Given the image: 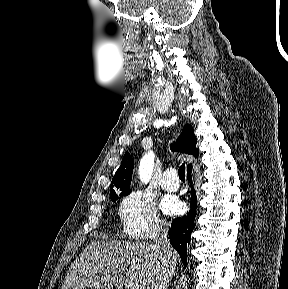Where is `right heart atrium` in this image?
<instances>
[{"instance_id": "obj_1", "label": "right heart atrium", "mask_w": 288, "mask_h": 289, "mask_svg": "<svg viewBox=\"0 0 288 289\" xmlns=\"http://www.w3.org/2000/svg\"><path fill=\"white\" fill-rule=\"evenodd\" d=\"M119 215L124 233L133 239H153L165 229L154 200L142 191L124 197Z\"/></svg>"}]
</instances>
